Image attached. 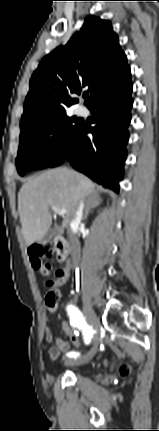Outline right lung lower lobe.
Listing matches in <instances>:
<instances>
[{
	"label": "right lung lower lobe",
	"mask_w": 159,
	"mask_h": 431,
	"mask_svg": "<svg viewBox=\"0 0 159 431\" xmlns=\"http://www.w3.org/2000/svg\"><path fill=\"white\" fill-rule=\"evenodd\" d=\"M132 86L128 76L102 92L88 107L96 126L89 128L81 122L48 167L69 161L74 169L118 192V181L123 178V163L127 156L125 147L133 105Z\"/></svg>",
	"instance_id": "right-lung-lower-lobe-1"
}]
</instances>
